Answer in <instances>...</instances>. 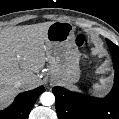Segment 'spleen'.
<instances>
[{
	"instance_id": "obj_1",
	"label": "spleen",
	"mask_w": 119,
	"mask_h": 119,
	"mask_svg": "<svg viewBox=\"0 0 119 119\" xmlns=\"http://www.w3.org/2000/svg\"><path fill=\"white\" fill-rule=\"evenodd\" d=\"M102 82H104V80L102 79L101 80ZM103 85H100V84H94L93 88H94V91H100L102 89Z\"/></svg>"
}]
</instances>
